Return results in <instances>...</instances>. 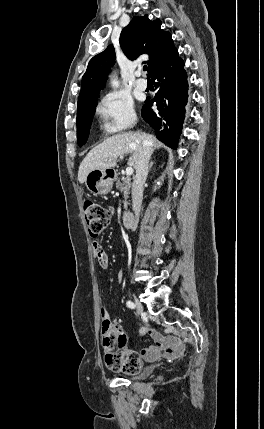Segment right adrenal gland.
Masks as SVG:
<instances>
[{
  "label": "right adrenal gland",
  "mask_w": 264,
  "mask_h": 429,
  "mask_svg": "<svg viewBox=\"0 0 264 429\" xmlns=\"http://www.w3.org/2000/svg\"><path fill=\"white\" fill-rule=\"evenodd\" d=\"M154 162L150 163L149 169L151 170L152 166H153Z\"/></svg>",
  "instance_id": "2a0ac1e0"
}]
</instances>
